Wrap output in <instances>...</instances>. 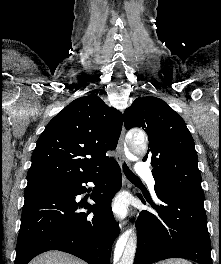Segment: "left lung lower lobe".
Returning a JSON list of instances; mask_svg holds the SVG:
<instances>
[{
	"label": "left lung lower lobe",
	"mask_w": 221,
	"mask_h": 264,
	"mask_svg": "<svg viewBox=\"0 0 221 264\" xmlns=\"http://www.w3.org/2000/svg\"><path fill=\"white\" fill-rule=\"evenodd\" d=\"M161 204L147 202L157 211L140 213L134 264H152L168 258H185L212 264L204 199L155 188ZM137 196L145 201L140 193Z\"/></svg>",
	"instance_id": "0a47b994"
}]
</instances>
